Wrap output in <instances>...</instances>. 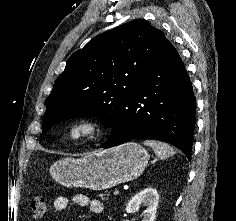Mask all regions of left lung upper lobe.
I'll list each match as a JSON object with an SVG mask.
<instances>
[{
    "label": "left lung upper lobe",
    "mask_w": 236,
    "mask_h": 221,
    "mask_svg": "<svg viewBox=\"0 0 236 221\" xmlns=\"http://www.w3.org/2000/svg\"><path fill=\"white\" fill-rule=\"evenodd\" d=\"M164 33L135 19L91 39L57 78L43 117L46 133L60 120L97 117L109 127L166 42Z\"/></svg>",
    "instance_id": "5c2ea615"
}]
</instances>
